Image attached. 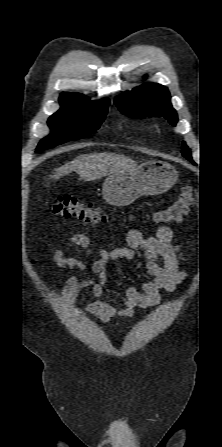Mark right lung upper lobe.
<instances>
[{"mask_svg": "<svg viewBox=\"0 0 222 447\" xmlns=\"http://www.w3.org/2000/svg\"><path fill=\"white\" fill-rule=\"evenodd\" d=\"M60 96L72 97V98H77V99H81V100H88V98L86 96L81 95V94H75V93H62Z\"/></svg>", "mask_w": 222, "mask_h": 447, "instance_id": "1", "label": "right lung upper lobe"}]
</instances>
